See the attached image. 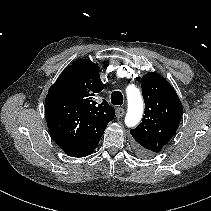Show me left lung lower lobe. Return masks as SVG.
I'll use <instances>...</instances> for the list:
<instances>
[{"instance_id":"left-lung-lower-lobe-1","label":"left lung lower lobe","mask_w":211,"mask_h":211,"mask_svg":"<svg viewBox=\"0 0 211 211\" xmlns=\"http://www.w3.org/2000/svg\"><path fill=\"white\" fill-rule=\"evenodd\" d=\"M137 154H138L139 156H143V157H146V156H149V155H150L149 152H147V151H145V150H141V149H137Z\"/></svg>"}]
</instances>
